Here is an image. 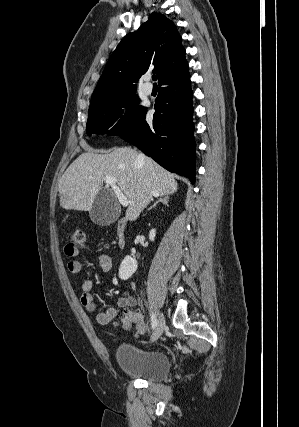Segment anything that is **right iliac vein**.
<instances>
[{
	"label": "right iliac vein",
	"instance_id": "obj_1",
	"mask_svg": "<svg viewBox=\"0 0 299 427\" xmlns=\"http://www.w3.org/2000/svg\"><path fill=\"white\" fill-rule=\"evenodd\" d=\"M164 329H165V318H164L163 314L160 313L157 326H156V328L152 334V337H151V341L153 342V341H156L157 339H159L160 336L162 335Z\"/></svg>",
	"mask_w": 299,
	"mask_h": 427
}]
</instances>
